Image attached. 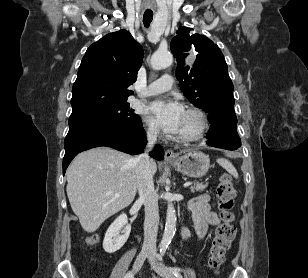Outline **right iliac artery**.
Segmentation results:
<instances>
[{
  "instance_id": "obj_1",
  "label": "right iliac artery",
  "mask_w": 308,
  "mask_h": 278,
  "mask_svg": "<svg viewBox=\"0 0 308 278\" xmlns=\"http://www.w3.org/2000/svg\"><path fill=\"white\" fill-rule=\"evenodd\" d=\"M124 278H133L132 272H128Z\"/></svg>"
}]
</instances>
